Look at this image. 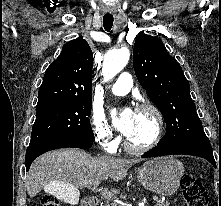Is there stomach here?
<instances>
[{"mask_svg":"<svg viewBox=\"0 0 221 206\" xmlns=\"http://www.w3.org/2000/svg\"><path fill=\"white\" fill-rule=\"evenodd\" d=\"M183 174V164L172 157L151 159L137 170V178L141 184L162 195L174 193L180 186Z\"/></svg>","mask_w":221,"mask_h":206,"instance_id":"0dacf381","label":"stomach"}]
</instances>
